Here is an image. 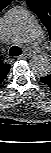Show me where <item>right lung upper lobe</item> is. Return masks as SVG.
Instances as JSON below:
<instances>
[{"instance_id":"1","label":"right lung upper lobe","mask_w":51,"mask_h":153,"mask_svg":"<svg viewBox=\"0 0 51 153\" xmlns=\"http://www.w3.org/2000/svg\"><path fill=\"white\" fill-rule=\"evenodd\" d=\"M11 1L12 0H0V12L7 5H9ZM9 69H10V65L3 63L2 57L0 55V83L5 79L6 75L9 72Z\"/></svg>"}]
</instances>
